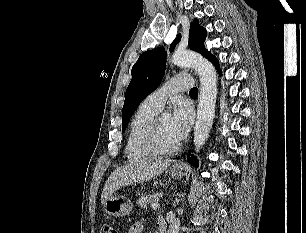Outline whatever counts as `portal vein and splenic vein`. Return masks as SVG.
Here are the masks:
<instances>
[{
	"label": "portal vein and splenic vein",
	"mask_w": 306,
	"mask_h": 233,
	"mask_svg": "<svg viewBox=\"0 0 306 233\" xmlns=\"http://www.w3.org/2000/svg\"><path fill=\"white\" fill-rule=\"evenodd\" d=\"M159 207H160V204H159V203H153V204H151V208L154 209V210L158 209Z\"/></svg>",
	"instance_id": "1"
}]
</instances>
